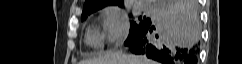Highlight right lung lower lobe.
I'll return each mask as SVG.
<instances>
[{"label": "right lung lower lobe", "mask_w": 242, "mask_h": 64, "mask_svg": "<svg viewBox=\"0 0 242 64\" xmlns=\"http://www.w3.org/2000/svg\"><path fill=\"white\" fill-rule=\"evenodd\" d=\"M156 22L125 44L134 54L146 55L162 64H197L200 22L196 0H158Z\"/></svg>", "instance_id": "obj_1"}]
</instances>
